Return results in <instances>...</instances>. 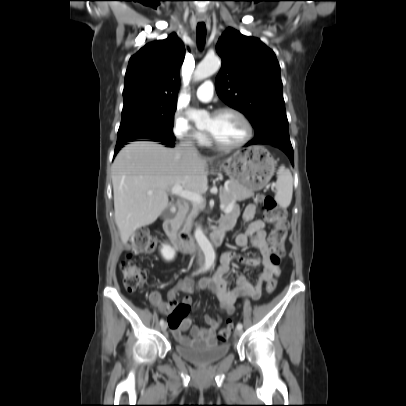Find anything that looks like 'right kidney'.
<instances>
[{
	"mask_svg": "<svg viewBox=\"0 0 406 406\" xmlns=\"http://www.w3.org/2000/svg\"><path fill=\"white\" fill-rule=\"evenodd\" d=\"M160 253H161L163 259L166 260V261H172L176 256L175 249L172 248L168 244H163L162 245V247L160 249Z\"/></svg>",
	"mask_w": 406,
	"mask_h": 406,
	"instance_id": "right-kidney-1",
	"label": "right kidney"
}]
</instances>
